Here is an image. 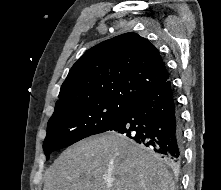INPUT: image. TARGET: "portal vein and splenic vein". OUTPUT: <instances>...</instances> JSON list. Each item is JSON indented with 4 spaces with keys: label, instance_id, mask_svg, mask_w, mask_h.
<instances>
[{
    "label": "portal vein and splenic vein",
    "instance_id": "portal-vein-and-splenic-vein-1",
    "mask_svg": "<svg viewBox=\"0 0 221 190\" xmlns=\"http://www.w3.org/2000/svg\"><path fill=\"white\" fill-rule=\"evenodd\" d=\"M106 181H107L108 183H112V182H113V179L108 178Z\"/></svg>",
    "mask_w": 221,
    "mask_h": 190
}]
</instances>
